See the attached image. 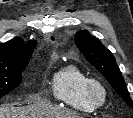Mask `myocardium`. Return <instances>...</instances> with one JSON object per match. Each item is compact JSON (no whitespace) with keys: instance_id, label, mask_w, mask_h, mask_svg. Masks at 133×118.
I'll return each mask as SVG.
<instances>
[{"instance_id":"f54148a6","label":"myocardium","mask_w":133,"mask_h":118,"mask_svg":"<svg viewBox=\"0 0 133 118\" xmlns=\"http://www.w3.org/2000/svg\"><path fill=\"white\" fill-rule=\"evenodd\" d=\"M85 92L90 104L99 108L106 104L108 99V90L98 79L89 78L85 85Z\"/></svg>"}]
</instances>
